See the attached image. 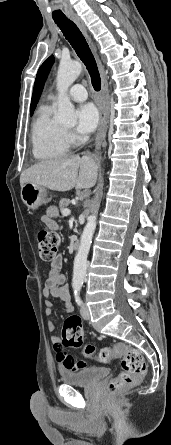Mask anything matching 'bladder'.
Instances as JSON below:
<instances>
[{
	"label": "bladder",
	"instance_id": "31cf9c89",
	"mask_svg": "<svg viewBox=\"0 0 171 445\" xmlns=\"http://www.w3.org/2000/svg\"><path fill=\"white\" fill-rule=\"evenodd\" d=\"M108 375V369L84 367L74 371H62L61 380L67 385L90 386Z\"/></svg>",
	"mask_w": 171,
	"mask_h": 445
}]
</instances>
